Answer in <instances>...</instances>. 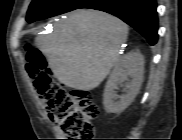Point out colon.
<instances>
[{
  "mask_svg": "<svg viewBox=\"0 0 182 140\" xmlns=\"http://www.w3.org/2000/svg\"><path fill=\"white\" fill-rule=\"evenodd\" d=\"M26 59V71L35 90L48 108L57 112L61 131L76 140H92V122L99 115L93 96L84 90L68 91L56 81L38 50H29Z\"/></svg>",
  "mask_w": 182,
  "mask_h": 140,
  "instance_id": "obj_1",
  "label": "colon"
}]
</instances>
